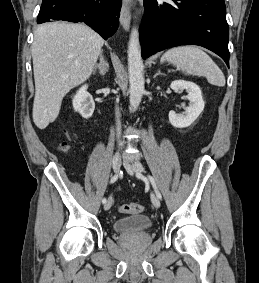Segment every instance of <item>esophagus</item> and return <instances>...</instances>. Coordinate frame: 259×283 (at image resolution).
<instances>
[{"instance_id":"34e87169","label":"esophagus","mask_w":259,"mask_h":283,"mask_svg":"<svg viewBox=\"0 0 259 283\" xmlns=\"http://www.w3.org/2000/svg\"><path fill=\"white\" fill-rule=\"evenodd\" d=\"M120 24L124 30L128 31L130 28V10L127 3H124L121 9Z\"/></svg>"}]
</instances>
